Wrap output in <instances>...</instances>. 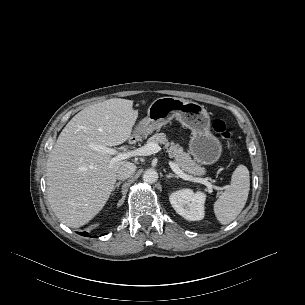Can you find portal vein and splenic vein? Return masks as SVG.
I'll use <instances>...</instances> for the list:
<instances>
[{
	"mask_svg": "<svg viewBox=\"0 0 305 305\" xmlns=\"http://www.w3.org/2000/svg\"><path fill=\"white\" fill-rule=\"evenodd\" d=\"M89 146L91 149H93L95 151L114 155L115 157L112 158L110 164H113L114 162H117L119 160H125V159L131 158V157H136V156H148V155L155 154V153L161 151V147L156 143H149L140 148H137L134 150H128V151H124V152H120L114 148H110V147L103 146V145H97V144H93V143H90ZM168 164L170 165L173 172H175L180 178H182L184 180H189V181L204 184L205 186H207L209 192H211L213 188L216 190L224 189L223 187H218V186L212 185L206 178L193 177V176L187 175L172 160H168Z\"/></svg>",
	"mask_w": 305,
	"mask_h": 305,
	"instance_id": "portal-vein-and-splenic-vein-1",
	"label": "portal vein and splenic vein"
}]
</instances>
